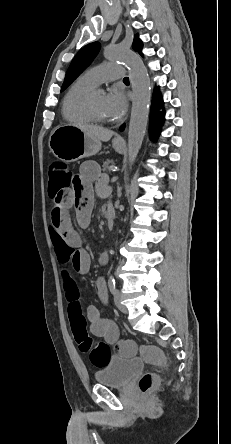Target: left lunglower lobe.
Masks as SVG:
<instances>
[{
    "label": "left lung lower lobe",
    "mask_w": 231,
    "mask_h": 444,
    "mask_svg": "<svg viewBox=\"0 0 231 444\" xmlns=\"http://www.w3.org/2000/svg\"><path fill=\"white\" fill-rule=\"evenodd\" d=\"M159 108H163V100L159 94L158 88H156L153 94L149 127L150 137L153 140L158 138L164 122L165 111L160 112L158 111ZM124 128L125 124L120 127V130H124Z\"/></svg>",
    "instance_id": "1"
}]
</instances>
